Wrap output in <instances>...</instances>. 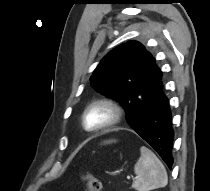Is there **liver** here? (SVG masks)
<instances>
[{"instance_id": "liver-1", "label": "liver", "mask_w": 210, "mask_h": 191, "mask_svg": "<svg viewBox=\"0 0 210 191\" xmlns=\"http://www.w3.org/2000/svg\"><path fill=\"white\" fill-rule=\"evenodd\" d=\"M112 142H115V140H109V141H106L104 143L109 144V143H112Z\"/></svg>"}]
</instances>
